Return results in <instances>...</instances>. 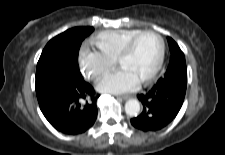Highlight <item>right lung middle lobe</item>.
<instances>
[{
    "mask_svg": "<svg viewBox=\"0 0 225 155\" xmlns=\"http://www.w3.org/2000/svg\"><path fill=\"white\" fill-rule=\"evenodd\" d=\"M93 30V27H75L47 43L37 63L36 88L66 68L79 70L78 53L81 43Z\"/></svg>",
    "mask_w": 225,
    "mask_h": 155,
    "instance_id": "right-lung-middle-lobe-1",
    "label": "right lung middle lobe"
}]
</instances>
